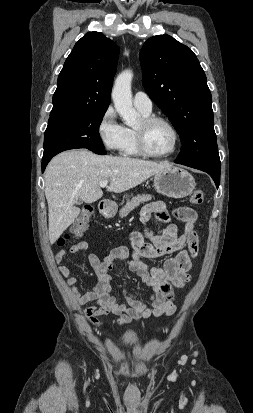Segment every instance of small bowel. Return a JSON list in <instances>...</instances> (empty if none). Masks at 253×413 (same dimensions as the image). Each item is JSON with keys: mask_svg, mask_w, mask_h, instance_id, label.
<instances>
[{"mask_svg": "<svg viewBox=\"0 0 253 413\" xmlns=\"http://www.w3.org/2000/svg\"><path fill=\"white\" fill-rule=\"evenodd\" d=\"M166 224L162 234L152 232L143 234L135 230L131 236L132 253L126 247L114 248L101 261L96 254H89L87 262L93 269L97 282L86 292L79 291L78 279L71 274L64 264L65 250L55 255L59 272L66 277L67 284L72 287V294L81 306L93 303L84 311L87 320L94 326H102L99 317L113 313L119 317L117 324L125 325L150 317L170 316L175 312L174 288H182L190 280L189 270L192 259L198 253V234L195 229L197 213L189 207L176 208L172 213L162 201L145 205L140 214V221H148L151 217ZM172 216L184 223L182 234H178L177 226L171 222ZM88 244L81 241L70 248L76 254L86 250ZM162 266H150L142 258L155 259L171 255ZM117 260L124 261L129 270L139 276L143 283L152 289L147 301L123 289L124 303H118L111 293V272Z\"/></svg>", "mask_w": 253, "mask_h": 413, "instance_id": "small-bowel-1", "label": "small bowel"}]
</instances>
